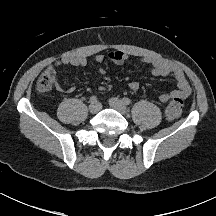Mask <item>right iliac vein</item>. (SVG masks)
Returning a JSON list of instances; mask_svg holds the SVG:
<instances>
[{
    "label": "right iliac vein",
    "mask_w": 216,
    "mask_h": 216,
    "mask_svg": "<svg viewBox=\"0 0 216 216\" xmlns=\"http://www.w3.org/2000/svg\"><path fill=\"white\" fill-rule=\"evenodd\" d=\"M100 109H101V105H100V103H98V102H96V103H91V104L89 105V111H90L92 114L97 113Z\"/></svg>",
    "instance_id": "63e3f726"
}]
</instances>
